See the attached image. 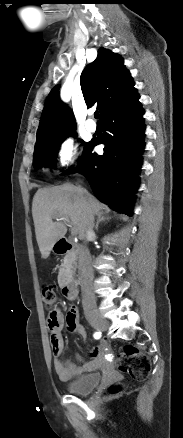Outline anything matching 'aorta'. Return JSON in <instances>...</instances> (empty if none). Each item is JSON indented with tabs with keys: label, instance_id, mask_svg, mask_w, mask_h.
Listing matches in <instances>:
<instances>
[{
	"label": "aorta",
	"instance_id": "obj_1",
	"mask_svg": "<svg viewBox=\"0 0 183 438\" xmlns=\"http://www.w3.org/2000/svg\"><path fill=\"white\" fill-rule=\"evenodd\" d=\"M74 282L77 286L83 287V278L80 271L74 275Z\"/></svg>",
	"mask_w": 183,
	"mask_h": 438
}]
</instances>
